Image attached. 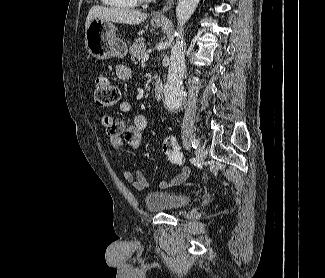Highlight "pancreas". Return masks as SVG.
Wrapping results in <instances>:
<instances>
[{
	"mask_svg": "<svg viewBox=\"0 0 325 278\" xmlns=\"http://www.w3.org/2000/svg\"><path fill=\"white\" fill-rule=\"evenodd\" d=\"M129 51L131 54L132 62L138 64V62L142 59L143 55L146 53L143 39L136 40L129 48Z\"/></svg>",
	"mask_w": 325,
	"mask_h": 278,
	"instance_id": "1",
	"label": "pancreas"
}]
</instances>
